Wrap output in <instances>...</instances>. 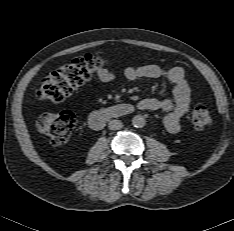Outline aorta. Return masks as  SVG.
I'll list each match as a JSON object with an SVG mask.
<instances>
[{
  "label": "aorta",
  "instance_id": "obj_1",
  "mask_svg": "<svg viewBox=\"0 0 234 231\" xmlns=\"http://www.w3.org/2000/svg\"><path fill=\"white\" fill-rule=\"evenodd\" d=\"M146 120L142 115H136L132 119V124L136 128H142L145 126Z\"/></svg>",
  "mask_w": 234,
  "mask_h": 231
}]
</instances>
